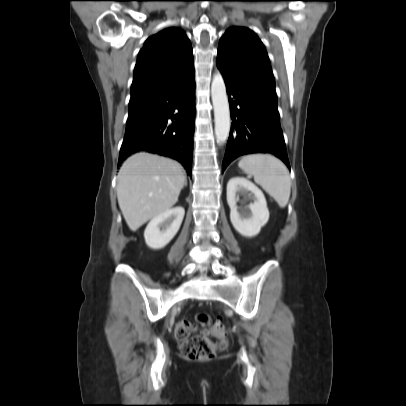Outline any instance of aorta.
<instances>
[{"mask_svg": "<svg viewBox=\"0 0 406 406\" xmlns=\"http://www.w3.org/2000/svg\"><path fill=\"white\" fill-rule=\"evenodd\" d=\"M211 96L214 107L216 141L221 145L229 136L231 122L226 87L220 72L213 75Z\"/></svg>", "mask_w": 406, "mask_h": 406, "instance_id": "obj_1", "label": "aorta"}]
</instances>
